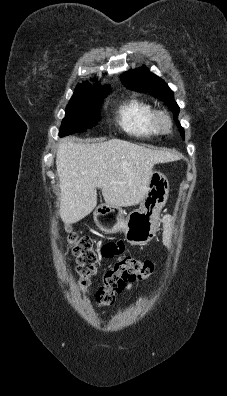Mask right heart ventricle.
<instances>
[{"label": "right heart ventricle", "mask_w": 227, "mask_h": 396, "mask_svg": "<svg viewBox=\"0 0 227 396\" xmlns=\"http://www.w3.org/2000/svg\"><path fill=\"white\" fill-rule=\"evenodd\" d=\"M154 112L150 103L131 97L119 106L117 119L122 129L130 135L149 138L159 134L153 123Z\"/></svg>", "instance_id": "1"}]
</instances>
